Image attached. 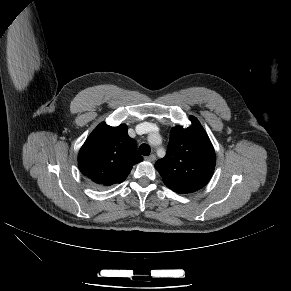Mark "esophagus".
I'll return each instance as SVG.
<instances>
[{"label":"esophagus","mask_w":291,"mask_h":291,"mask_svg":"<svg viewBox=\"0 0 291 291\" xmlns=\"http://www.w3.org/2000/svg\"><path fill=\"white\" fill-rule=\"evenodd\" d=\"M145 160L150 161V162H154L156 160V156L154 154H151V155L145 157Z\"/></svg>","instance_id":"esophagus-1"}]
</instances>
